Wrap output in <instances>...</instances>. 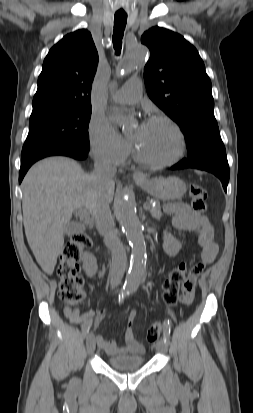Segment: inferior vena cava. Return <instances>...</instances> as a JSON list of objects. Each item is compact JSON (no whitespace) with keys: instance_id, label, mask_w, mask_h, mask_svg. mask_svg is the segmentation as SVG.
<instances>
[{"instance_id":"inferior-vena-cava-1","label":"inferior vena cava","mask_w":253,"mask_h":413,"mask_svg":"<svg viewBox=\"0 0 253 413\" xmlns=\"http://www.w3.org/2000/svg\"><path fill=\"white\" fill-rule=\"evenodd\" d=\"M94 167V176L100 185L105 186L112 182L117 169L111 164L109 159L97 156ZM94 219L97 230L104 237L105 245L111 250L112 270L110 284L112 288H116L123 278L127 266V256L125 248L116 234L115 223L109 204L103 202L94 214Z\"/></svg>"}]
</instances>
